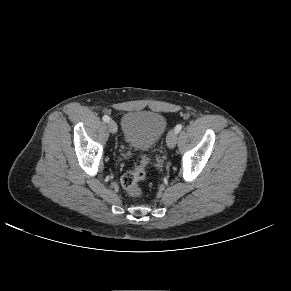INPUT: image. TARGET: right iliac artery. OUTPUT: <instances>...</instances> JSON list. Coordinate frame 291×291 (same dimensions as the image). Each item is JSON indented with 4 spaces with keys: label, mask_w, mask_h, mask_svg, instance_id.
I'll use <instances>...</instances> for the list:
<instances>
[{
    "label": "right iliac artery",
    "mask_w": 291,
    "mask_h": 291,
    "mask_svg": "<svg viewBox=\"0 0 291 291\" xmlns=\"http://www.w3.org/2000/svg\"><path fill=\"white\" fill-rule=\"evenodd\" d=\"M102 119H103L104 122H109L110 117L107 116V115H104Z\"/></svg>",
    "instance_id": "1"
}]
</instances>
